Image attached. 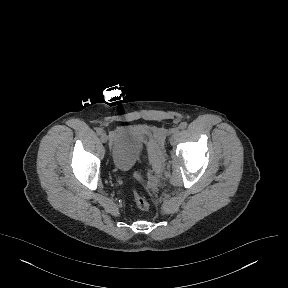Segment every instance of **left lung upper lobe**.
I'll return each instance as SVG.
<instances>
[{
    "label": "left lung upper lobe",
    "mask_w": 288,
    "mask_h": 288,
    "mask_svg": "<svg viewBox=\"0 0 288 288\" xmlns=\"http://www.w3.org/2000/svg\"><path fill=\"white\" fill-rule=\"evenodd\" d=\"M259 211H255V212H253L250 216H251V219H256V217L259 215Z\"/></svg>",
    "instance_id": "left-lung-upper-lobe-1"
}]
</instances>
